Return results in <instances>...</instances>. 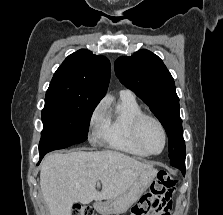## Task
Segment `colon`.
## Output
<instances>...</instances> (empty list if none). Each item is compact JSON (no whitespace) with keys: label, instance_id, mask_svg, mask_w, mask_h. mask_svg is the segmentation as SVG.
<instances>
[{"label":"colon","instance_id":"5ec220e1","mask_svg":"<svg viewBox=\"0 0 223 215\" xmlns=\"http://www.w3.org/2000/svg\"><path fill=\"white\" fill-rule=\"evenodd\" d=\"M177 180L167 171L157 173L150 193L145 194L134 206L133 215H164L166 205L157 202V198L172 194ZM72 215H95L93 209L87 205L76 204L72 208Z\"/></svg>","mask_w":223,"mask_h":215}]
</instances>
